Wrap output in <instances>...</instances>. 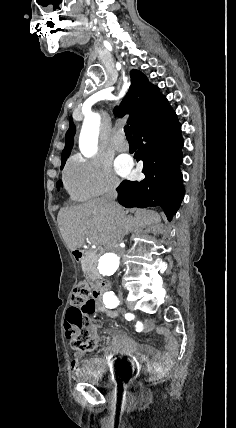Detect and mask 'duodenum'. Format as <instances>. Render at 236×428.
I'll list each match as a JSON object with an SVG mask.
<instances>
[{
  "label": "duodenum",
  "instance_id": "obj_1",
  "mask_svg": "<svg viewBox=\"0 0 236 428\" xmlns=\"http://www.w3.org/2000/svg\"><path fill=\"white\" fill-rule=\"evenodd\" d=\"M73 257L74 259L79 263L82 264L85 259V253L81 249H75L73 251ZM109 291V284L107 282H102L100 284H97L92 289V296L95 300L101 301L104 298V295Z\"/></svg>",
  "mask_w": 236,
  "mask_h": 428
}]
</instances>
